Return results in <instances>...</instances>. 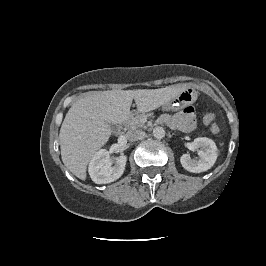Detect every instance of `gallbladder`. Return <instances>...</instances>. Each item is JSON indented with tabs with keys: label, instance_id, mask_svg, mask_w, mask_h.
I'll return each instance as SVG.
<instances>
[{
	"label": "gallbladder",
	"instance_id": "1",
	"mask_svg": "<svg viewBox=\"0 0 266 266\" xmlns=\"http://www.w3.org/2000/svg\"><path fill=\"white\" fill-rule=\"evenodd\" d=\"M111 129H112V130H117V126L114 125V124H112V125H111Z\"/></svg>",
	"mask_w": 266,
	"mask_h": 266
}]
</instances>
